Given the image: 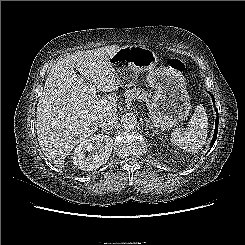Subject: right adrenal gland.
Segmentation results:
<instances>
[{"mask_svg": "<svg viewBox=\"0 0 245 245\" xmlns=\"http://www.w3.org/2000/svg\"><path fill=\"white\" fill-rule=\"evenodd\" d=\"M102 132L108 134V133H111L112 134V131H107V130H102Z\"/></svg>", "mask_w": 245, "mask_h": 245, "instance_id": "right-adrenal-gland-1", "label": "right adrenal gland"}]
</instances>
